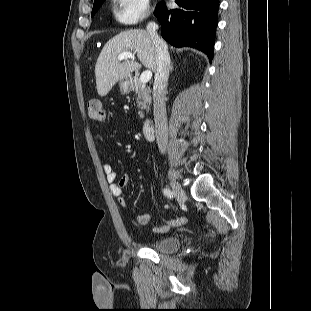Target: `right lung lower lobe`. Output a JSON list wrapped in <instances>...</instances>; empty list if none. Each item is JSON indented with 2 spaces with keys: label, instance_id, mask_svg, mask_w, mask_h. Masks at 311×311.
Returning <instances> with one entry per match:
<instances>
[{
  "label": "right lung lower lobe",
  "instance_id": "obj_1",
  "mask_svg": "<svg viewBox=\"0 0 311 311\" xmlns=\"http://www.w3.org/2000/svg\"><path fill=\"white\" fill-rule=\"evenodd\" d=\"M176 9L160 2L155 15L162 37L176 47H193L213 58L219 0H175Z\"/></svg>",
  "mask_w": 311,
  "mask_h": 311
}]
</instances>
